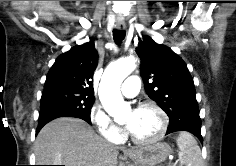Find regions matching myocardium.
I'll list each match as a JSON object with an SVG mask.
<instances>
[{
    "label": "myocardium",
    "mask_w": 236,
    "mask_h": 166,
    "mask_svg": "<svg viewBox=\"0 0 236 166\" xmlns=\"http://www.w3.org/2000/svg\"><path fill=\"white\" fill-rule=\"evenodd\" d=\"M144 109H153L155 110L159 117H160V129L156 135L148 139H141L133 135L132 133L129 134L131 140L138 145H151L160 141L166 134L168 128V117L166 112L155 102L153 101H145L138 104L136 110H144Z\"/></svg>",
    "instance_id": "f54148a6"
}]
</instances>
